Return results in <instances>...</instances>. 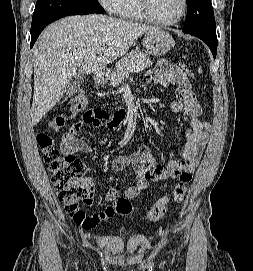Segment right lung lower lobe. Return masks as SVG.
I'll list each match as a JSON object with an SVG mask.
<instances>
[{"mask_svg": "<svg viewBox=\"0 0 253 271\" xmlns=\"http://www.w3.org/2000/svg\"><path fill=\"white\" fill-rule=\"evenodd\" d=\"M70 15H83V14H78V13H64L61 15H57L54 17H51L49 19H47L46 21H44L43 23L39 24L36 28L31 30V44L30 46L33 47L35 41L37 40L38 36L40 35V33L42 32V30L50 23L54 22L55 20H58L62 17L65 16H70Z\"/></svg>", "mask_w": 253, "mask_h": 271, "instance_id": "98d812e1", "label": "right lung lower lobe"}]
</instances>
